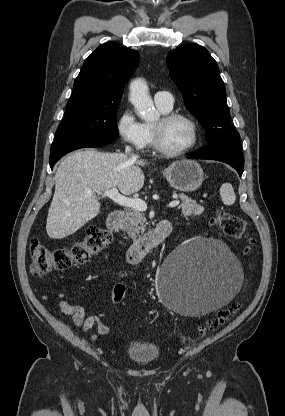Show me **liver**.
<instances>
[{
	"label": "liver",
	"instance_id": "liver-1",
	"mask_svg": "<svg viewBox=\"0 0 285 416\" xmlns=\"http://www.w3.org/2000/svg\"><path fill=\"white\" fill-rule=\"evenodd\" d=\"M142 160L131 162L125 154H101L84 148L61 162L55 180V194L48 212L49 238L62 240L75 234L100 212L94 192L118 188L124 196L140 192L144 186ZM86 190H94L91 196Z\"/></svg>",
	"mask_w": 285,
	"mask_h": 416
}]
</instances>
